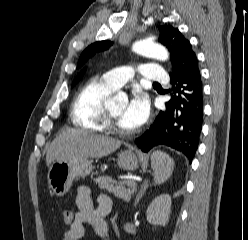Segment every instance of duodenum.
Listing matches in <instances>:
<instances>
[{
  "label": "duodenum",
  "mask_w": 248,
  "mask_h": 240,
  "mask_svg": "<svg viewBox=\"0 0 248 240\" xmlns=\"http://www.w3.org/2000/svg\"><path fill=\"white\" fill-rule=\"evenodd\" d=\"M101 230L105 235H107V224H103Z\"/></svg>",
  "instance_id": "1"
}]
</instances>
